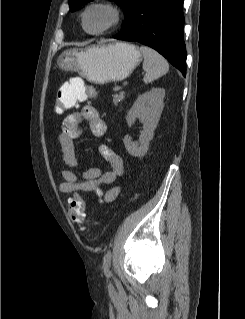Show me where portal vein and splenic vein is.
Returning <instances> with one entry per match:
<instances>
[{
	"label": "portal vein and splenic vein",
	"mask_w": 245,
	"mask_h": 319,
	"mask_svg": "<svg viewBox=\"0 0 245 319\" xmlns=\"http://www.w3.org/2000/svg\"><path fill=\"white\" fill-rule=\"evenodd\" d=\"M120 89H122L121 86H117V87L115 88V90H120Z\"/></svg>",
	"instance_id": "18ae733b"
}]
</instances>
